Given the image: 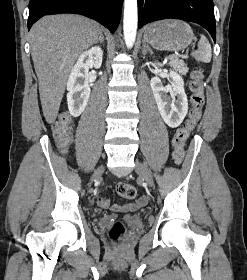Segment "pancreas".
<instances>
[{
    "mask_svg": "<svg viewBox=\"0 0 247 280\" xmlns=\"http://www.w3.org/2000/svg\"><path fill=\"white\" fill-rule=\"evenodd\" d=\"M169 64L182 75H186L188 73L187 65L180 59H172L170 60Z\"/></svg>",
    "mask_w": 247,
    "mask_h": 280,
    "instance_id": "cf45deb5",
    "label": "pancreas"
}]
</instances>
